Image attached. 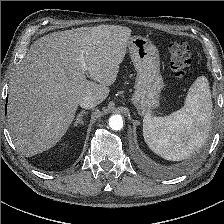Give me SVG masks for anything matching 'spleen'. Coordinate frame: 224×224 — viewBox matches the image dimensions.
<instances>
[{"mask_svg": "<svg viewBox=\"0 0 224 224\" xmlns=\"http://www.w3.org/2000/svg\"><path fill=\"white\" fill-rule=\"evenodd\" d=\"M212 100L205 76L191 85L184 106L172 114L143 119V136L148 147L166 160L181 161L205 143L211 126Z\"/></svg>", "mask_w": 224, "mask_h": 224, "instance_id": "obj_1", "label": "spleen"}]
</instances>
